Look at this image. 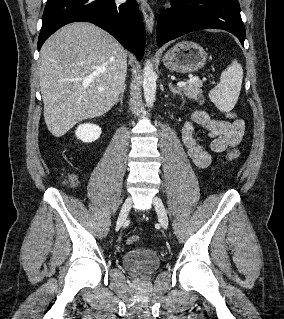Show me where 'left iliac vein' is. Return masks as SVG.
<instances>
[{
    "instance_id": "left-iliac-vein-1",
    "label": "left iliac vein",
    "mask_w": 284,
    "mask_h": 319,
    "mask_svg": "<svg viewBox=\"0 0 284 319\" xmlns=\"http://www.w3.org/2000/svg\"><path fill=\"white\" fill-rule=\"evenodd\" d=\"M153 204L155 207V210L157 212L160 224L162 225L163 228L167 229L168 228V216L166 209L162 203V200L159 197H154Z\"/></svg>"
}]
</instances>
